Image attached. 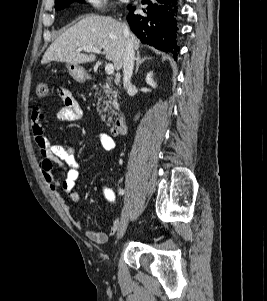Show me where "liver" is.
Masks as SVG:
<instances>
[{
  "label": "liver",
  "mask_w": 267,
  "mask_h": 301,
  "mask_svg": "<svg viewBox=\"0 0 267 301\" xmlns=\"http://www.w3.org/2000/svg\"><path fill=\"white\" fill-rule=\"evenodd\" d=\"M124 24L112 17L88 15L73 27L62 33L46 50L41 63L60 61L67 64H84L96 59L94 54H84L78 49L92 46L104 50L107 60L114 63L119 71L124 63L127 40L130 38L135 50L140 47L139 40L133 35L124 34Z\"/></svg>",
  "instance_id": "1"
}]
</instances>
